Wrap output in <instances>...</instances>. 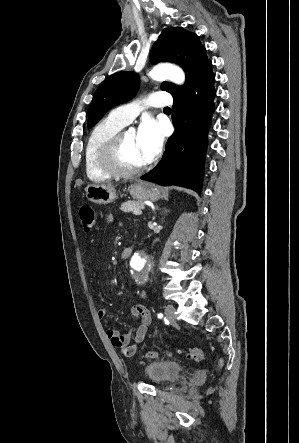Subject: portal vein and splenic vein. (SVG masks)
Masks as SVG:
<instances>
[{"label": "portal vein and splenic vein", "instance_id": "portal-vein-and-splenic-vein-1", "mask_svg": "<svg viewBox=\"0 0 299 443\" xmlns=\"http://www.w3.org/2000/svg\"><path fill=\"white\" fill-rule=\"evenodd\" d=\"M132 213H133V215L138 216V215L142 214V211H141V209H135Z\"/></svg>", "mask_w": 299, "mask_h": 443}]
</instances>
